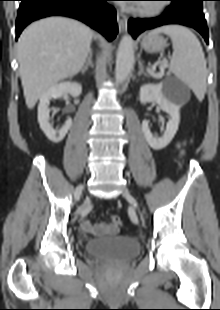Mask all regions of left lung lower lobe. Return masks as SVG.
Masks as SVG:
<instances>
[{"instance_id":"left-lung-lower-lobe-1","label":"left lung lower lobe","mask_w":220,"mask_h":310,"mask_svg":"<svg viewBox=\"0 0 220 310\" xmlns=\"http://www.w3.org/2000/svg\"><path fill=\"white\" fill-rule=\"evenodd\" d=\"M171 5L161 16L149 19H133L128 21V28L133 38L145 30L162 25L180 24L197 30L208 42V28L203 14L202 4L197 0H166Z\"/></svg>"}]
</instances>
